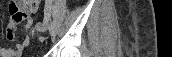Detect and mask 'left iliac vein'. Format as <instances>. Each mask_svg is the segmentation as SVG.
I'll use <instances>...</instances> for the list:
<instances>
[{"label":"left iliac vein","mask_w":172,"mask_h":57,"mask_svg":"<svg viewBox=\"0 0 172 57\" xmlns=\"http://www.w3.org/2000/svg\"><path fill=\"white\" fill-rule=\"evenodd\" d=\"M48 11V8L47 10ZM49 32L51 35H55L57 32V23L55 21H51L49 24Z\"/></svg>","instance_id":"1"}]
</instances>
